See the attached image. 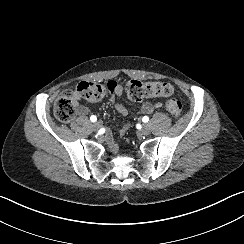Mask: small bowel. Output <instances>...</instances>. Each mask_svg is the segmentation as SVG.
Wrapping results in <instances>:
<instances>
[{
	"mask_svg": "<svg viewBox=\"0 0 244 244\" xmlns=\"http://www.w3.org/2000/svg\"><path fill=\"white\" fill-rule=\"evenodd\" d=\"M108 88L110 90V102L115 105L116 110L118 113L122 116H126L128 114V110L125 106L116 103L115 98L119 97L123 94V86L117 82L111 81L108 83ZM160 107V104L158 103H151V102H145L141 105L140 107V113L142 114H149L153 110L157 109ZM89 113V108L85 105H80L78 107V114L80 116H85ZM129 129V125H125L120 129V135H124L127 130Z\"/></svg>",
	"mask_w": 244,
	"mask_h": 244,
	"instance_id": "small-bowel-1",
	"label": "small bowel"
}]
</instances>
